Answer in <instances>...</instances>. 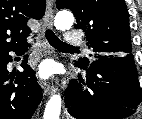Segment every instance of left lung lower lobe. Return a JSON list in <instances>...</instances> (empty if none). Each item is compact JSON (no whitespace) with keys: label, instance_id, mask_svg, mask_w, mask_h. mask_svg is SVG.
Returning <instances> with one entry per match:
<instances>
[{"label":"left lung lower lobe","instance_id":"0a47b994","mask_svg":"<svg viewBox=\"0 0 142 119\" xmlns=\"http://www.w3.org/2000/svg\"><path fill=\"white\" fill-rule=\"evenodd\" d=\"M86 81L71 80L65 107L74 119H123L142 102L133 57L94 59L84 69Z\"/></svg>","mask_w":142,"mask_h":119}]
</instances>
